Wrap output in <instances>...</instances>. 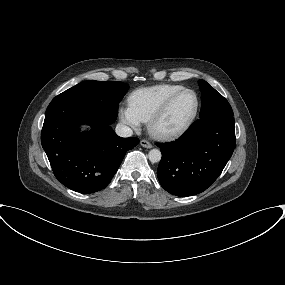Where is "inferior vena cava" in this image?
<instances>
[{"label": "inferior vena cava", "mask_w": 285, "mask_h": 285, "mask_svg": "<svg viewBox=\"0 0 285 285\" xmlns=\"http://www.w3.org/2000/svg\"><path fill=\"white\" fill-rule=\"evenodd\" d=\"M115 132L118 136L120 137H131L132 134H133V131L130 127L122 124V123H119L117 124L116 128H115Z\"/></svg>", "instance_id": "1"}]
</instances>
